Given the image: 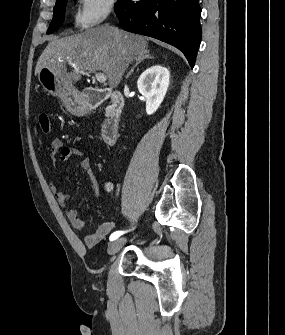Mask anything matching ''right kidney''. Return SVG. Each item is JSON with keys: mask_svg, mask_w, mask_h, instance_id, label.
Wrapping results in <instances>:
<instances>
[{"mask_svg": "<svg viewBox=\"0 0 285 335\" xmlns=\"http://www.w3.org/2000/svg\"><path fill=\"white\" fill-rule=\"evenodd\" d=\"M170 84V72L162 66H151L138 78L137 88L146 98L148 116L154 114L162 104Z\"/></svg>", "mask_w": 285, "mask_h": 335, "instance_id": "right-kidney-1", "label": "right kidney"}]
</instances>
